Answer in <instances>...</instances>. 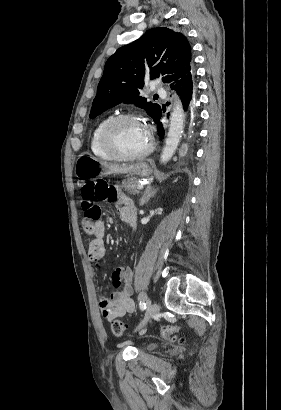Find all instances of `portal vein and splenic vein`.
<instances>
[{
    "label": "portal vein and splenic vein",
    "mask_w": 281,
    "mask_h": 410,
    "mask_svg": "<svg viewBox=\"0 0 281 410\" xmlns=\"http://www.w3.org/2000/svg\"><path fill=\"white\" fill-rule=\"evenodd\" d=\"M144 188V184H138L137 189L142 190Z\"/></svg>",
    "instance_id": "obj_1"
}]
</instances>
